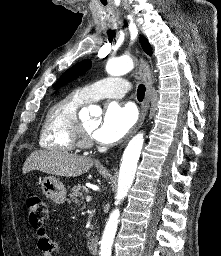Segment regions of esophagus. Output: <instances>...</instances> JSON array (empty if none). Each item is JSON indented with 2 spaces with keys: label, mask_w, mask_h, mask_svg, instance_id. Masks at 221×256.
<instances>
[{
  "label": "esophagus",
  "mask_w": 221,
  "mask_h": 256,
  "mask_svg": "<svg viewBox=\"0 0 221 256\" xmlns=\"http://www.w3.org/2000/svg\"><path fill=\"white\" fill-rule=\"evenodd\" d=\"M139 74L146 86L145 98L141 105L139 119H138L136 125L133 127V129L126 136L124 142L121 144L120 150L123 148L126 141L141 127V125L143 124L144 119L147 115V111H148V108L150 105V101H151V97H152V78H151L149 64L143 57L140 59Z\"/></svg>",
  "instance_id": "esophagus-1"
}]
</instances>
